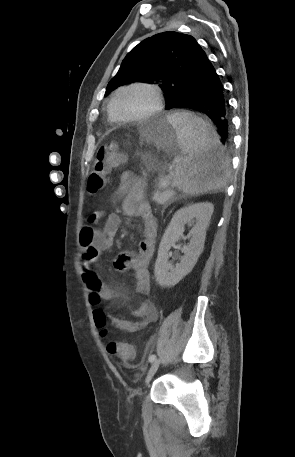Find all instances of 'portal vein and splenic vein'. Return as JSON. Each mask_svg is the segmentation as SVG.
I'll list each match as a JSON object with an SVG mask.
<instances>
[{
  "label": "portal vein and splenic vein",
  "instance_id": "18ae733b",
  "mask_svg": "<svg viewBox=\"0 0 295 457\" xmlns=\"http://www.w3.org/2000/svg\"><path fill=\"white\" fill-rule=\"evenodd\" d=\"M160 183H161L162 186H166L167 183H168L167 177H162V178L160 179Z\"/></svg>",
  "mask_w": 295,
  "mask_h": 457
}]
</instances>
